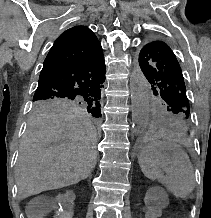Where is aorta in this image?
<instances>
[{"mask_svg": "<svg viewBox=\"0 0 211 218\" xmlns=\"http://www.w3.org/2000/svg\"><path fill=\"white\" fill-rule=\"evenodd\" d=\"M130 92L133 133L140 134L148 124L150 87L146 78L139 70H134L132 73Z\"/></svg>", "mask_w": 211, "mask_h": 218, "instance_id": "obj_1", "label": "aorta"}]
</instances>
